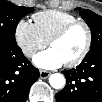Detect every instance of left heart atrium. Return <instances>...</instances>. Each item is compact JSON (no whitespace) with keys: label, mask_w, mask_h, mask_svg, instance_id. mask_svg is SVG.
Instances as JSON below:
<instances>
[{"label":"left heart atrium","mask_w":102,"mask_h":102,"mask_svg":"<svg viewBox=\"0 0 102 102\" xmlns=\"http://www.w3.org/2000/svg\"><path fill=\"white\" fill-rule=\"evenodd\" d=\"M33 63L44 70H52L61 67L64 62L53 49H47L37 53L33 57Z\"/></svg>","instance_id":"left-heart-atrium-1"}]
</instances>
